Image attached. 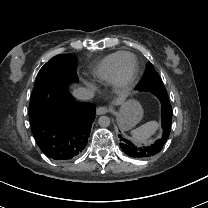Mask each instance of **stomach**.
<instances>
[{"label":"stomach","instance_id":"1","mask_svg":"<svg viewBox=\"0 0 208 208\" xmlns=\"http://www.w3.org/2000/svg\"><path fill=\"white\" fill-rule=\"evenodd\" d=\"M120 126L126 130L134 126L142 116V109L135 101L124 103L120 111L117 113Z\"/></svg>","mask_w":208,"mask_h":208}]
</instances>
